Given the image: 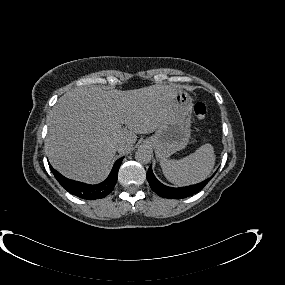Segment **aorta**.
<instances>
[{
	"label": "aorta",
	"mask_w": 285,
	"mask_h": 285,
	"mask_svg": "<svg viewBox=\"0 0 285 285\" xmlns=\"http://www.w3.org/2000/svg\"><path fill=\"white\" fill-rule=\"evenodd\" d=\"M135 159L142 164H148L151 161V153L145 148L138 149L135 153Z\"/></svg>",
	"instance_id": "1"
}]
</instances>
